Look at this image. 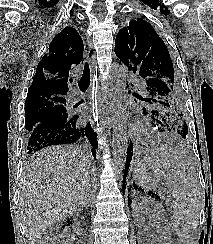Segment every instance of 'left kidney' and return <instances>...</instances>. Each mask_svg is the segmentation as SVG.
Here are the masks:
<instances>
[{
  "mask_svg": "<svg viewBox=\"0 0 213 244\" xmlns=\"http://www.w3.org/2000/svg\"><path fill=\"white\" fill-rule=\"evenodd\" d=\"M132 213L136 225L145 226V217L149 216L157 228V240L159 244H172L169 229L161 207L151 198L139 197L133 201ZM141 244H150L142 233L139 237Z\"/></svg>",
  "mask_w": 213,
  "mask_h": 244,
  "instance_id": "obj_1",
  "label": "left kidney"
}]
</instances>
